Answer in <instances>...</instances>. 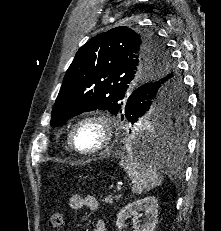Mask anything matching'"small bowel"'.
Segmentation results:
<instances>
[{
    "mask_svg": "<svg viewBox=\"0 0 221 231\" xmlns=\"http://www.w3.org/2000/svg\"><path fill=\"white\" fill-rule=\"evenodd\" d=\"M69 206L73 210H80L85 208L89 211H97L98 210V202L93 196H80V195H72L69 199ZM91 231H107L106 224L102 220L95 221Z\"/></svg>",
    "mask_w": 221,
    "mask_h": 231,
    "instance_id": "1",
    "label": "small bowel"
}]
</instances>
